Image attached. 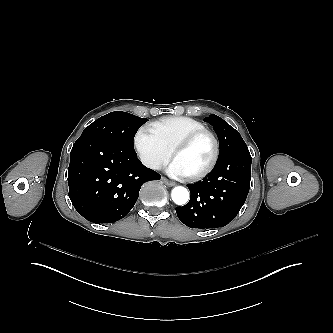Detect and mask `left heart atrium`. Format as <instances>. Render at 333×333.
Here are the masks:
<instances>
[{
    "label": "left heart atrium",
    "instance_id": "1",
    "mask_svg": "<svg viewBox=\"0 0 333 333\" xmlns=\"http://www.w3.org/2000/svg\"><path fill=\"white\" fill-rule=\"evenodd\" d=\"M166 173L173 178H184L187 176L175 160H170L167 164Z\"/></svg>",
    "mask_w": 333,
    "mask_h": 333
}]
</instances>
